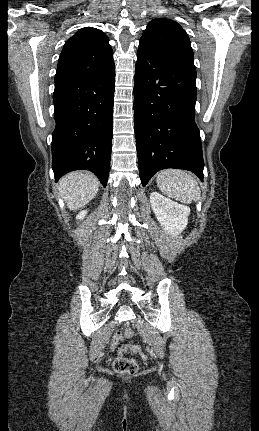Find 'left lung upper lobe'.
<instances>
[{
	"label": "left lung upper lobe",
	"mask_w": 259,
	"mask_h": 431,
	"mask_svg": "<svg viewBox=\"0 0 259 431\" xmlns=\"http://www.w3.org/2000/svg\"><path fill=\"white\" fill-rule=\"evenodd\" d=\"M140 44L148 45L170 59L195 68L190 39L185 30L171 19L158 18L150 21Z\"/></svg>",
	"instance_id": "5c2ea615"
}]
</instances>
